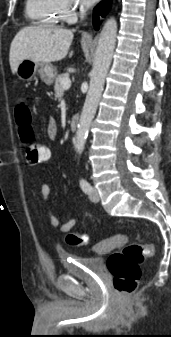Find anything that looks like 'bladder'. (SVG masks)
<instances>
[{"label":"bladder","instance_id":"obj_1","mask_svg":"<svg viewBox=\"0 0 171 337\" xmlns=\"http://www.w3.org/2000/svg\"><path fill=\"white\" fill-rule=\"evenodd\" d=\"M61 260L67 274L91 278L102 272L104 261L99 257H82L73 254H64Z\"/></svg>","mask_w":171,"mask_h":337}]
</instances>
